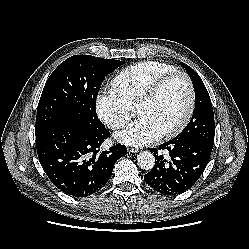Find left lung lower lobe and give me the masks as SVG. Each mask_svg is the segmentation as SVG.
<instances>
[{"instance_id": "0a47b994", "label": "left lung lower lobe", "mask_w": 249, "mask_h": 249, "mask_svg": "<svg viewBox=\"0 0 249 249\" xmlns=\"http://www.w3.org/2000/svg\"><path fill=\"white\" fill-rule=\"evenodd\" d=\"M213 145L199 141L172 140L159 146L167 149L170 159L157 155V149L150 150L155 154V166L145 174L144 180L154 190L176 195L185 192L199 179L209 161Z\"/></svg>"}]
</instances>
